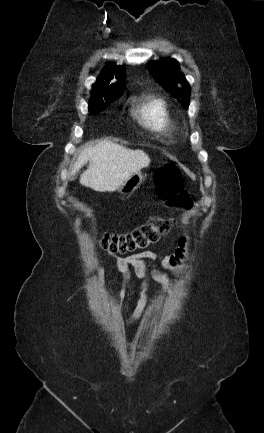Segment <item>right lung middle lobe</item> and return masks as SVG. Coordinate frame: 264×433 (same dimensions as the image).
I'll return each mask as SVG.
<instances>
[{
	"instance_id": "right-lung-middle-lobe-1",
	"label": "right lung middle lobe",
	"mask_w": 264,
	"mask_h": 433,
	"mask_svg": "<svg viewBox=\"0 0 264 433\" xmlns=\"http://www.w3.org/2000/svg\"><path fill=\"white\" fill-rule=\"evenodd\" d=\"M117 98L110 100H90L89 111L99 112L102 111L109 103L115 101Z\"/></svg>"
}]
</instances>
